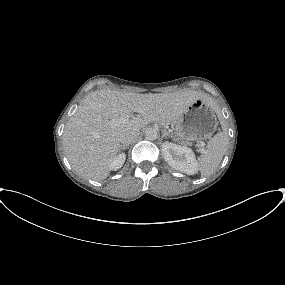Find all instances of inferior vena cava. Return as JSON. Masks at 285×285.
<instances>
[{"instance_id": "inferior-vena-cava-1", "label": "inferior vena cava", "mask_w": 285, "mask_h": 285, "mask_svg": "<svg viewBox=\"0 0 285 285\" xmlns=\"http://www.w3.org/2000/svg\"><path fill=\"white\" fill-rule=\"evenodd\" d=\"M139 133L137 132H124L120 135L119 141L123 145H129L135 138H137Z\"/></svg>"}]
</instances>
